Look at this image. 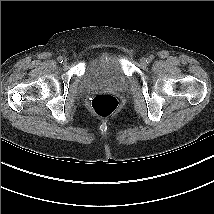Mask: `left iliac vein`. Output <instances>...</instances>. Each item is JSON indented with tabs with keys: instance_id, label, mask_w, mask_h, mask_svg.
I'll return each instance as SVG.
<instances>
[{
	"instance_id": "left-iliac-vein-1",
	"label": "left iliac vein",
	"mask_w": 214,
	"mask_h": 214,
	"mask_svg": "<svg viewBox=\"0 0 214 214\" xmlns=\"http://www.w3.org/2000/svg\"><path fill=\"white\" fill-rule=\"evenodd\" d=\"M140 63L142 65H147L149 63V60L147 58L143 57V58H141Z\"/></svg>"
}]
</instances>
